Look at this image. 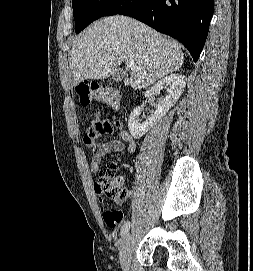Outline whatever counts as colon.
<instances>
[{
    "label": "colon",
    "mask_w": 253,
    "mask_h": 271,
    "mask_svg": "<svg viewBox=\"0 0 253 271\" xmlns=\"http://www.w3.org/2000/svg\"><path fill=\"white\" fill-rule=\"evenodd\" d=\"M79 101L87 106L92 101H99L117 108L120 104V94L105 86L96 83L80 82L77 86ZM115 166L108 165L99 172L95 183L96 192L110 200L114 208L104 212V220L109 227H117L123 220V207L126 202L127 192L121 181L114 175Z\"/></svg>",
    "instance_id": "5ec220e1"
}]
</instances>
